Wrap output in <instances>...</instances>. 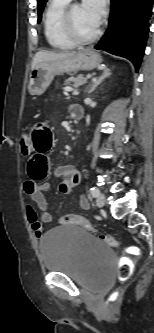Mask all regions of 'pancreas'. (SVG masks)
I'll return each instance as SVG.
<instances>
[{"instance_id":"cf45deb5","label":"pancreas","mask_w":154,"mask_h":333,"mask_svg":"<svg viewBox=\"0 0 154 333\" xmlns=\"http://www.w3.org/2000/svg\"><path fill=\"white\" fill-rule=\"evenodd\" d=\"M87 78L83 75H77L76 77L72 76L65 81V85H71L74 88L80 87L86 82Z\"/></svg>"}]
</instances>
